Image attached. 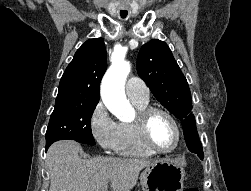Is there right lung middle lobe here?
I'll return each mask as SVG.
<instances>
[{"label": "right lung middle lobe", "instance_id": "dd1d6c3e", "mask_svg": "<svg viewBox=\"0 0 251 191\" xmlns=\"http://www.w3.org/2000/svg\"><path fill=\"white\" fill-rule=\"evenodd\" d=\"M97 103L54 107L46 131V148L63 139L95 145L91 117Z\"/></svg>", "mask_w": 251, "mask_h": 191}]
</instances>
